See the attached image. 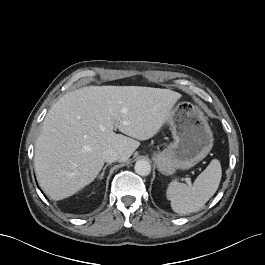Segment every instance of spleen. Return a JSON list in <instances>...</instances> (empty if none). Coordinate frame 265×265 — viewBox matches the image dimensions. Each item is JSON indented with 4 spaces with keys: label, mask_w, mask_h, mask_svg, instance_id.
I'll list each match as a JSON object with an SVG mask.
<instances>
[{
    "label": "spleen",
    "mask_w": 265,
    "mask_h": 265,
    "mask_svg": "<svg viewBox=\"0 0 265 265\" xmlns=\"http://www.w3.org/2000/svg\"><path fill=\"white\" fill-rule=\"evenodd\" d=\"M222 177L219 160L213 159L199 174L192 186L176 180L170 182L166 197L176 213L188 214L199 211L217 191Z\"/></svg>",
    "instance_id": "obj_1"
}]
</instances>
